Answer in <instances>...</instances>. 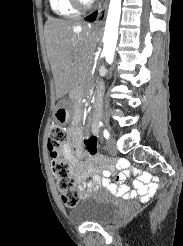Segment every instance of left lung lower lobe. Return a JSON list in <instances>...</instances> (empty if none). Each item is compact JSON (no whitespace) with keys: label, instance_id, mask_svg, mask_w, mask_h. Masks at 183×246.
Masks as SVG:
<instances>
[{"label":"left lung lower lobe","instance_id":"1","mask_svg":"<svg viewBox=\"0 0 183 246\" xmlns=\"http://www.w3.org/2000/svg\"><path fill=\"white\" fill-rule=\"evenodd\" d=\"M97 13H93L90 16H87L85 19L88 21H94L96 18Z\"/></svg>","mask_w":183,"mask_h":246}]
</instances>
